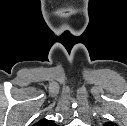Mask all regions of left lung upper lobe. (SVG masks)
<instances>
[{"label":"left lung upper lobe","instance_id":"1","mask_svg":"<svg viewBox=\"0 0 127 126\" xmlns=\"http://www.w3.org/2000/svg\"><path fill=\"white\" fill-rule=\"evenodd\" d=\"M105 126H115V124L112 122H109V123H105Z\"/></svg>","mask_w":127,"mask_h":126}]
</instances>
